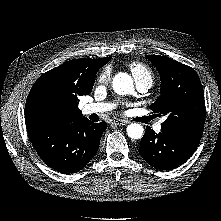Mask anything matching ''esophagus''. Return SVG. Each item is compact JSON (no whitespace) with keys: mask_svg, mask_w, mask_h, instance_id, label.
Returning a JSON list of instances; mask_svg holds the SVG:
<instances>
[{"mask_svg":"<svg viewBox=\"0 0 221 221\" xmlns=\"http://www.w3.org/2000/svg\"><path fill=\"white\" fill-rule=\"evenodd\" d=\"M127 123L128 121L122 119H116L112 122L113 125H118V126L126 125Z\"/></svg>","mask_w":221,"mask_h":221,"instance_id":"1","label":"esophagus"}]
</instances>
